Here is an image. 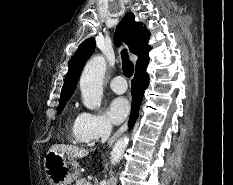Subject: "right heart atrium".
Segmentation results:
<instances>
[{"mask_svg":"<svg viewBox=\"0 0 233 185\" xmlns=\"http://www.w3.org/2000/svg\"><path fill=\"white\" fill-rule=\"evenodd\" d=\"M111 127L101 114L82 112L78 118L77 133L81 142L93 143L108 136Z\"/></svg>","mask_w":233,"mask_h":185,"instance_id":"1","label":"right heart atrium"}]
</instances>
